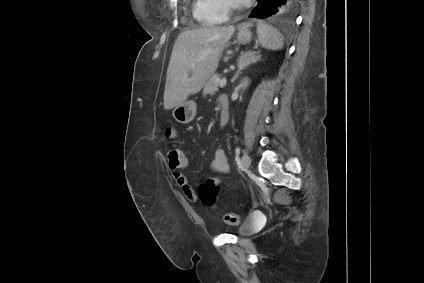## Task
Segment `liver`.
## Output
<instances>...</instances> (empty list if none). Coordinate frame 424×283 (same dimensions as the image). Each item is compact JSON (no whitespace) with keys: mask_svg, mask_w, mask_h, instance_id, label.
<instances>
[{"mask_svg":"<svg viewBox=\"0 0 424 283\" xmlns=\"http://www.w3.org/2000/svg\"><path fill=\"white\" fill-rule=\"evenodd\" d=\"M234 32L231 25L188 29L178 35L167 69L164 109L177 107L203 88Z\"/></svg>","mask_w":424,"mask_h":283,"instance_id":"1","label":"liver"}]
</instances>
